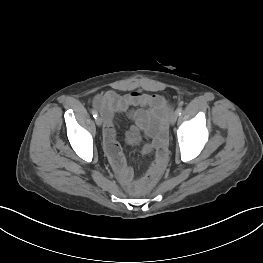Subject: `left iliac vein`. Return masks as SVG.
<instances>
[{"label": "left iliac vein", "mask_w": 263, "mask_h": 263, "mask_svg": "<svg viewBox=\"0 0 263 263\" xmlns=\"http://www.w3.org/2000/svg\"><path fill=\"white\" fill-rule=\"evenodd\" d=\"M178 116L179 115H178L177 111H174V112L171 113L170 119H169L171 125L175 124V122L177 121Z\"/></svg>", "instance_id": "4c4485c4"}]
</instances>
